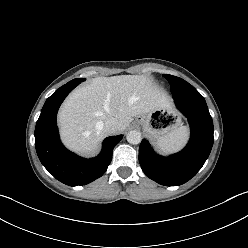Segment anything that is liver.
<instances>
[{
  "label": "liver",
  "mask_w": 248,
  "mask_h": 248,
  "mask_svg": "<svg viewBox=\"0 0 248 248\" xmlns=\"http://www.w3.org/2000/svg\"><path fill=\"white\" fill-rule=\"evenodd\" d=\"M168 108L167 95L146 76L96 77L67 97L58 122L68 148L81 154H93L108 135L103 128L107 119H117V132H123L133 117Z\"/></svg>",
  "instance_id": "obj_1"
}]
</instances>
